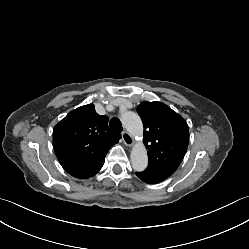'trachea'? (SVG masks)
Here are the masks:
<instances>
[{
  "label": "trachea",
  "instance_id": "1",
  "mask_svg": "<svg viewBox=\"0 0 249 249\" xmlns=\"http://www.w3.org/2000/svg\"><path fill=\"white\" fill-rule=\"evenodd\" d=\"M109 125L116 132L120 133L123 130V127H122L120 120L116 117H114L110 120Z\"/></svg>",
  "mask_w": 249,
  "mask_h": 249
}]
</instances>
